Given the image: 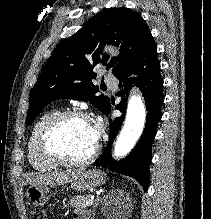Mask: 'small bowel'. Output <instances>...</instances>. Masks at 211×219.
Segmentation results:
<instances>
[{
  "label": "small bowel",
  "instance_id": "1",
  "mask_svg": "<svg viewBox=\"0 0 211 219\" xmlns=\"http://www.w3.org/2000/svg\"><path fill=\"white\" fill-rule=\"evenodd\" d=\"M73 217L74 219H89V216L80 210H75L73 213Z\"/></svg>",
  "mask_w": 211,
  "mask_h": 219
}]
</instances>
